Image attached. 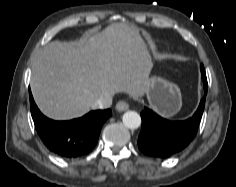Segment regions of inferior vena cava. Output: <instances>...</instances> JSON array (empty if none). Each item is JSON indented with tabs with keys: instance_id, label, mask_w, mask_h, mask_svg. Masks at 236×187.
<instances>
[{
	"instance_id": "obj_1",
	"label": "inferior vena cava",
	"mask_w": 236,
	"mask_h": 187,
	"mask_svg": "<svg viewBox=\"0 0 236 187\" xmlns=\"http://www.w3.org/2000/svg\"><path fill=\"white\" fill-rule=\"evenodd\" d=\"M112 105V97L109 95L100 96L92 105V109H106Z\"/></svg>"
}]
</instances>
